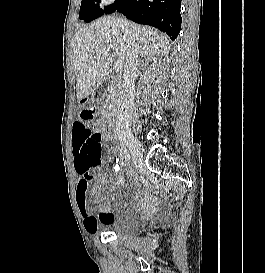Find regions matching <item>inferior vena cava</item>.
I'll return each mask as SVG.
<instances>
[{"label": "inferior vena cava", "mask_w": 265, "mask_h": 273, "mask_svg": "<svg viewBox=\"0 0 265 273\" xmlns=\"http://www.w3.org/2000/svg\"><path fill=\"white\" fill-rule=\"evenodd\" d=\"M118 24L122 30L123 38L127 43L128 60L124 67L123 79L119 89L118 109L115 122L116 133L120 136L131 133V120L133 115L135 85L139 61V47L129 23L118 18Z\"/></svg>", "instance_id": "1"}]
</instances>
